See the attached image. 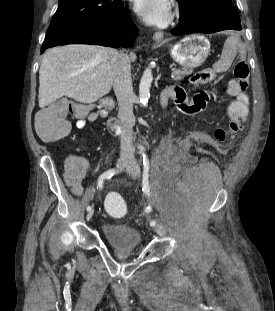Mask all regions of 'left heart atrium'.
<instances>
[{"instance_id": "obj_1", "label": "left heart atrium", "mask_w": 275, "mask_h": 311, "mask_svg": "<svg viewBox=\"0 0 275 311\" xmlns=\"http://www.w3.org/2000/svg\"><path fill=\"white\" fill-rule=\"evenodd\" d=\"M133 8L149 25L162 27L171 19L170 0H133Z\"/></svg>"}]
</instances>
